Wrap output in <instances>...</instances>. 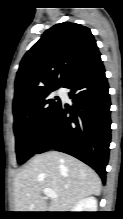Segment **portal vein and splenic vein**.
<instances>
[{"label":"portal vein and splenic vein","mask_w":123,"mask_h":219,"mask_svg":"<svg viewBox=\"0 0 123 219\" xmlns=\"http://www.w3.org/2000/svg\"><path fill=\"white\" fill-rule=\"evenodd\" d=\"M43 192L49 198L55 199L58 197V195L52 189L46 188L43 190Z\"/></svg>","instance_id":"1"}]
</instances>
